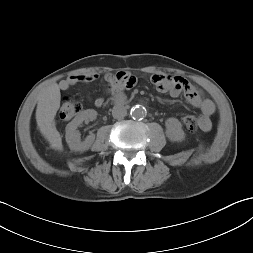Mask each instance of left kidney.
I'll return each mask as SVG.
<instances>
[{
	"mask_svg": "<svg viewBox=\"0 0 253 253\" xmlns=\"http://www.w3.org/2000/svg\"><path fill=\"white\" fill-rule=\"evenodd\" d=\"M166 136L171 141H183L185 139V133L182 129V124L176 118H168L165 122Z\"/></svg>",
	"mask_w": 253,
	"mask_h": 253,
	"instance_id": "left-kidney-1",
	"label": "left kidney"
}]
</instances>
